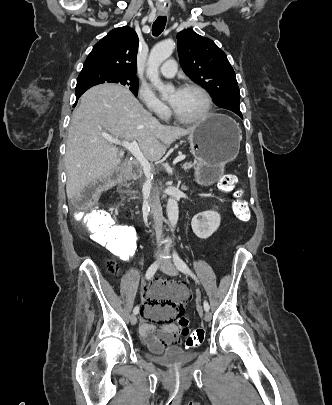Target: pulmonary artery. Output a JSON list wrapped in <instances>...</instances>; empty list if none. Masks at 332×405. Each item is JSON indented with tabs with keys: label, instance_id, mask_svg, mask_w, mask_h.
<instances>
[{
	"label": "pulmonary artery",
	"instance_id": "1",
	"mask_svg": "<svg viewBox=\"0 0 332 405\" xmlns=\"http://www.w3.org/2000/svg\"><path fill=\"white\" fill-rule=\"evenodd\" d=\"M177 72V64L175 60H167L160 68V74L164 77L171 78Z\"/></svg>",
	"mask_w": 332,
	"mask_h": 405
}]
</instances>
